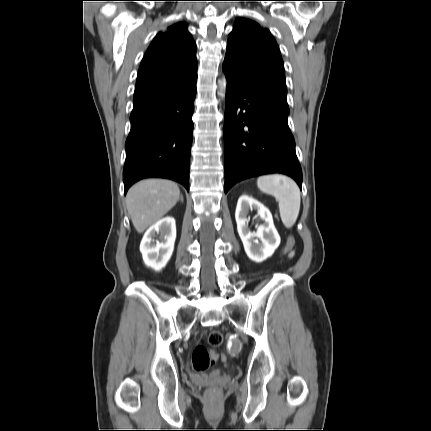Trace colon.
<instances>
[{
  "label": "colon",
  "mask_w": 431,
  "mask_h": 431,
  "mask_svg": "<svg viewBox=\"0 0 431 431\" xmlns=\"http://www.w3.org/2000/svg\"><path fill=\"white\" fill-rule=\"evenodd\" d=\"M294 245V238L290 237L287 241L286 250L279 252L278 259L287 256V251L290 250ZM207 343L209 347L204 344H199L193 351L192 365L195 371L204 372L211 366H217L220 360L222 363L226 362V354L218 355L215 348L219 347L223 343V335L218 330H212L207 335ZM207 395L210 398H214L218 395V389L212 387L207 391Z\"/></svg>",
  "instance_id": "1"
}]
</instances>
